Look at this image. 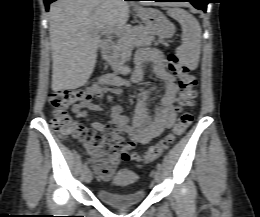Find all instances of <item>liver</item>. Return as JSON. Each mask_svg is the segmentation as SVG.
Returning a JSON list of instances; mask_svg holds the SVG:
<instances>
[{
  "label": "liver",
  "instance_id": "1",
  "mask_svg": "<svg viewBox=\"0 0 260 217\" xmlns=\"http://www.w3.org/2000/svg\"><path fill=\"white\" fill-rule=\"evenodd\" d=\"M49 18L51 88L54 92L77 89L93 72L100 43L97 32L122 28L129 5L124 0H58L51 4Z\"/></svg>",
  "mask_w": 260,
  "mask_h": 217
}]
</instances>
